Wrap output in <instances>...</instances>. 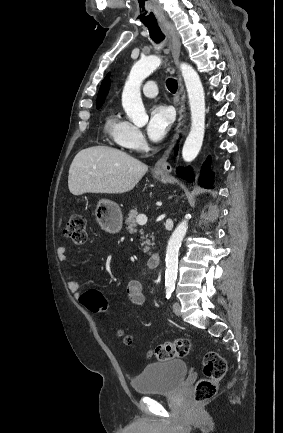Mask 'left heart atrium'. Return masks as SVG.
I'll return each mask as SVG.
<instances>
[{
    "instance_id": "39dd6f15",
    "label": "left heart atrium",
    "mask_w": 283,
    "mask_h": 433,
    "mask_svg": "<svg viewBox=\"0 0 283 433\" xmlns=\"http://www.w3.org/2000/svg\"><path fill=\"white\" fill-rule=\"evenodd\" d=\"M172 123L171 110L160 104L150 109V117L147 125V135L152 142H160L168 133Z\"/></svg>"
}]
</instances>
